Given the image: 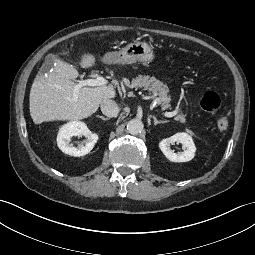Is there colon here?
<instances>
[{
  "mask_svg": "<svg viewBox=\"0 0 255 255\" xmlns=\"http://www.w3.org/2000/svg\"><path fill=\"white\" fill-rule=\"evenodd\" d=\"M201 106L204 110L216 115L217 128L220 131L228 129L229 121L227 116L221 111V101L217 93L213 91L205 92L201 97Z\"/></svg>",
  "mask_w": 255,
  "mask_h": 255,
  "instance_id": "obj_1",
  "label": "colon"
}]
</instances>
